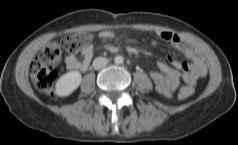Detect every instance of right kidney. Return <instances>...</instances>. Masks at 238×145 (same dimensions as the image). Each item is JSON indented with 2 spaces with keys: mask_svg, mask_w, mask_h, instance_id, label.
<instances>
[{
  "mask_svg": "<svg viewBox=\"0 0 238 145\" xmlns=\"http://www.w3.org/2000/svg\"><path fill=\"white\" fill-rule=\"evenodd\" d=\"M82 76L77 71H70L62 75L55 85L57 95L64 97L74 92L80 85Z\"/></svg>",
  "mask_w": 238,
  "mask_h": 145,
  "instance_id": "ca27d5eb",
  "label": "right kidney"
}]
</instances>
